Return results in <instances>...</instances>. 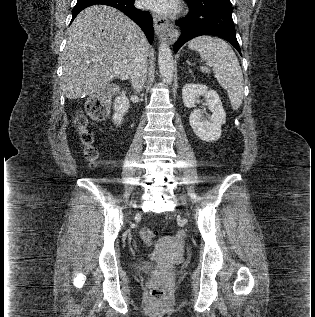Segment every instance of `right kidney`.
Instances as JSON below:
<instances>
[{"label": "right kidney", "mask_w": 315, "mask_h": 317, "mask_svg": "<svg viewBox=\"0 0 315 317\" xmlns=\"http://www.w3.org/2000/svg\"><path fill=\"white\" fill-rule=\"evenodd\" d=\"M130 107L129 100L123 91L120 96H118L114 101V111L113 121L115 124L120 125L124 114L128 111Z\"/></svg>", "instance_id": "ca27d5eb"}]
</instances>
